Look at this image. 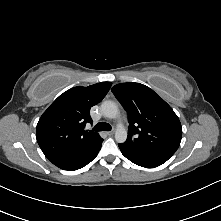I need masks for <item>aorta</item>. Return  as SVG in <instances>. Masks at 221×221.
Here are the masks:
<instances>
[{
	"mask_svg": "<svg viewBox=\"0 0 221 221\" xmlns=\"http://www.w3.org/2000/svg\"><path fill=\"white\" fill-rule=\"evenodd\" d=\"M101 112L105 117L114 119L118 115V107L113 101H104L101 104ZM115 139L118 143H124L127 139V131L122 124L117 125Z\"/></svg>",
	"mask_w": 221,
	"mask_h": 221,
	"instance_id": "obj_1",
	"label": "aorta"
}]
</instances>
